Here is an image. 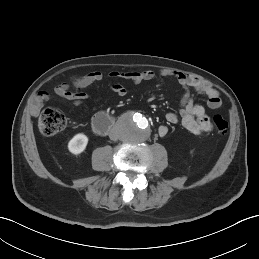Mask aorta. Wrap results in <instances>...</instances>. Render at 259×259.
Returning a JSON list of instances; mask_svg holds the SVG:
<instances>
[{
    "mask_svg": "<svg viewBox=\"0 0 259 259\" xmlns=\"http://www.w3.org/2000/svg\"><path fill=\"white\" fill-rule=\"evenodd\" d=\"M118 130L121 138L131 143L143 142L150 135L149 121L140 113H128L123 116Z\"/></svg>",
    "mask_w": 259,
    "mask_h": 259,
    "instance_id": "obj_1",
    "label": "aorta"
}]
</instances>
